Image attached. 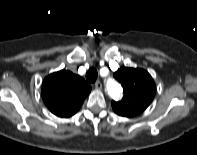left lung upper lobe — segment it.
Instances as JSON below:
<instances>
[{
    "instance_id": "left-lung-upper-lobe-1",
    "label": "left lung upper lobe",
    "mask_w": 197,
    "mask_h": 155,
    "mask_svg": "<svg viewBox=\"0 0 197 155\" xmlns=\"http://www.w3.org/2000/svg\"><path fill=\"white\" fill-rule=\"evenodd\" d=\"M114 78L121 83L124 92L121 101H112L115 113L123 117H133L150 105L156 86L146 70L121 67L114 73Z\"/></svg>"
}]
</instances>
